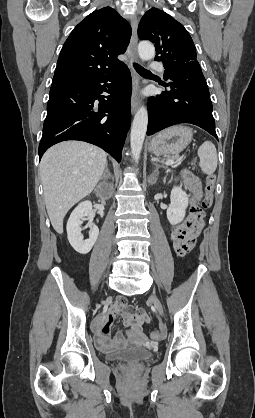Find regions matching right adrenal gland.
<instances>
[{
    "label": "right adrenal gland",
    "mask_w": 255,
    "mask_h": 418,
    "mask_svg": "<svg viewBox=\"0 0 255 418\" xmlns=\"http://www.w3.org/2000/svg\"><path fill=\"white\" fill-rule=\"evenodd\" d=\"M112 178V174L109 172V170H108V165H106V168H105V171H104V173H103V176H102V178Z\"/></svg>",
    "instance_id": "1"
}]
</instances>
